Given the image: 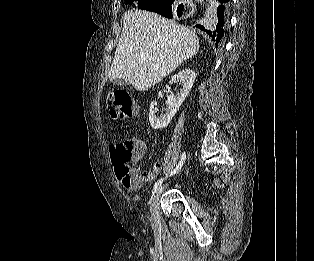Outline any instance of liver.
I'll list each match as a JSON object with an SVG mask.
<instances>
[{"mask_svg": "<svg viewBox=\"0 0 314 261\" xmlns=\"http://www.w3.org/2000/svg\"><path fill=\"white\" fill-rule=\"evenodd\" d=\"M122 21L109 70L111 81L124 79L137 91H147L199 51V38L193 31L156 13L130 9Z\"/></svg>", "mask_w": 314, "mask_h": 261, "instance_id": "obj_1", "label": "liver"}]
</instances>
